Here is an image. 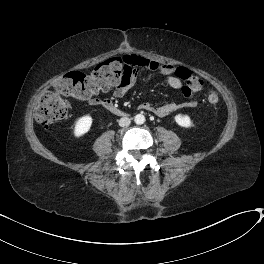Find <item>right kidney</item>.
<instances>
[{"label":"right kidney","instance_id":"right-kidney-1","mask_svg":"<svg viewBox=\"0 0 264 264\" xmlns=\"http://www.w3.org/2000/svg\"><path fill=\"white\" fill-rule=\"evenodd\" d=\"M92 122L93 119L89 115H85L79 118L75 123L74 131H73L74 136L81 137L84 134H86L90 130Z\"/></svg>","mask_w":264,"mask_h":264}]
</instances>
